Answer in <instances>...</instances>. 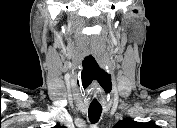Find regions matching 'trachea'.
Wrapping results in <instances>:
<instances>
[{
	"label": "trachea",
	"instance_id": "3493384b",
	"mask_svg": "<svg viewBox=\"0 0 177 128\" xmlns=\"http://www.w3.org/2000/svg\"><path fill=\"white\" fill-rule=\"evenodd\" d=\"M102 113L101 106H90L88 109L89 120L92 124H95L99 121Z\"/></svg>",
	"mask_w": 177,
	"mask_h": 128
}]
</instances>
